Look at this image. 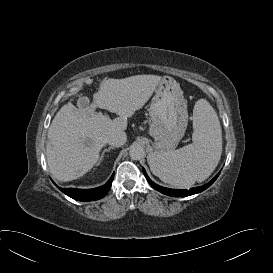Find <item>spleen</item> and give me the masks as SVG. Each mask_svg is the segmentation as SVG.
Listing matches in <instances>:
<instances>
[{"label":"spleen","mask_w":273,"mask_h":273,"mask_svg":"<svg viewBox=\"0 0 273 273\" xmlns=\"http://www.w3.org/2000/svg\"><path fill=\"white\" fill-rule=\"evenodd\" d=\"M193 143L168 152L148 156L152 173L165 183L189 187L207 179L217 167L222 153V131L218 116L205 100L193 110Z\"/></svg>","instance_id":"spleen-1"}]
</instances>
